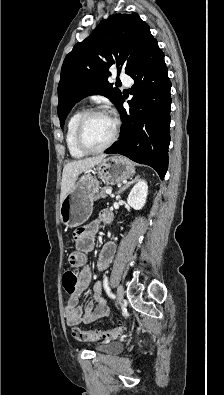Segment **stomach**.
Here are the masks:
<instances>
[{
  "mask_svg": "<svg viewBox=\"0 0 224 395\" xmlns=\"http://www.w3.org/2000/svg\"><path fill=\"white\" fill-rule=\"evenodd\" d=\"M99 178L106 184H118L134 173L131 161L123 156L104 158L97 165ZM99 181L90 173H84L60 204V220L67 227H77L88 220L92 213Z\"/></svg>",
  "mask_w": 224,
  "mask_h": 395,
  "instance_id": "0dacf381",
  "label": "stomach"
}]
</instances>
